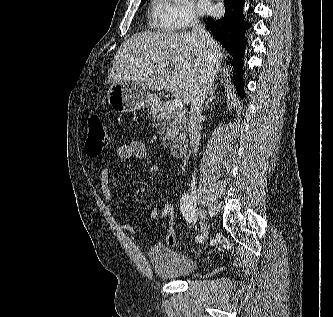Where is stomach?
I'll use <instances>...</instances> for the list:
<instances>
[{"instance_id":"1","label":"stomach","mask_w":333,"mask_h":317,"mask_svg":"<svg viewBox=\"0 0 333 317\" xmlns=\"http://www.w3.org/2000/svg\"><path fill=\"white\" fill-rule=\"evenodd\" d=\"M110 106L117 112H130L145 109L155 98L147 89L131 79L114 81L107 94Z\"/></svg>"}]
</instances>
